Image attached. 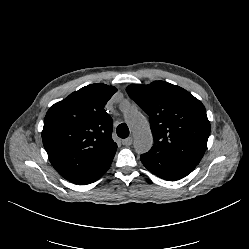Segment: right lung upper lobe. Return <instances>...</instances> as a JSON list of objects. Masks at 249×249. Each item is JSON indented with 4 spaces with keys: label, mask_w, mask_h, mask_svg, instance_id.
<instances>
[{
    "label": "right lung upper lobe",
    "mask_w": 249,
    "mask_h": 249,
    "mask_svg": "<svg viewBox=\"0 0 249 249\" xmlns=\"http://www.w3.org/2000/svg\"><path fill=\"white\" fill-rule=\"evenodd\" d=\"M117 91L102 83L91 84L54 104L44 119L42 141L55 170L78 184L113 159V120L104 106Z\"/></svg>",
    "instance_id": "right-lung-upper-lobe-1"
}]
</instances>
